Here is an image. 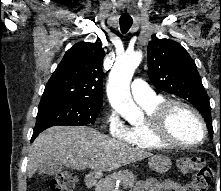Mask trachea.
Masks as SVG:
<instances>
[{
    "label": "trachea",
    "mask_w": 221,
    "mask_h": 191,
    "mask_svg": "<svg viewBox=\"0 0 221 191\" xmlns=\"http://www.w3.org/2000/svg\"><path fill=\"white\" fill-rule=\"evenodd\" d=\"M119 23H120L121 32L126 33L132 26L133 20L132 18H120Z\"/></svg>",
    "instance_id": "obj_1"
}]
</instances>
